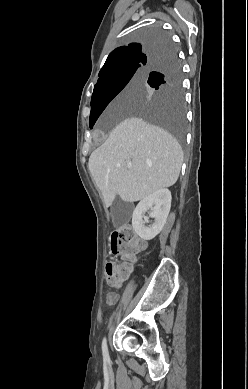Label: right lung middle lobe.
<instances>
[{
    "instance_id": "1",
    "label": "right lung middle lobe",
    "mask_w": 248,
    "mask_h": 389,
    "mask_svg": "<svg viewBox=\"0 0 248 389\" xmlns=\"http://www.w3.org/2000/svg\"><path fill=\"white\" fill-rule=\"evenodd\" d=\"M143 40L150 44H171L168 37L159 30L143 33ZM152 71V72H150ZM153 72L163 75L148 78L152 87V97L143 103L132 101L125 105L128 112L145 121L168 130L183 143L185 139V108L181 89V65L172 47L170 51L146 68L139 65L113 70L98 79L91 99L90 128L93 127L110 101L129 83H145V78Z\"/></svg>"
}]
</instances>
